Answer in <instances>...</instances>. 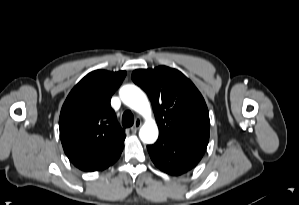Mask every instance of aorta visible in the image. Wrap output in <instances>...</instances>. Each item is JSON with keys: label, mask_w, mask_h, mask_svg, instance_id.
Listing matches in <instances>:
<instances>
[{"label": "aorta", "mask_w": 299, "mask_h": 205, "mask_svg": "<svg viewBox=\"0 0 299 205\" xmlns=\"http://www.w3.org/2000/svg\"><path fill=\"white\" fill-rule=\"evenodd\" d=\"M122 101L143 116L151 115V107L146 95L135 85H125L120 89ZM140 139L147 144L154 143L158 138V127L154 120L149 119L139 131Z\"/></svg>", "instance_id": "aorta-1"}]
</instances>
